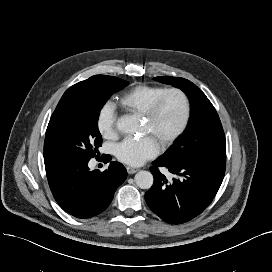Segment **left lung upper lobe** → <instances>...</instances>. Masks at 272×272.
Wrapping results in <instances>:
<instances>
[{
	"label": "left lung upper lobe",
	"mask_w": 272,
	"mask_h": 272,
	"mask_svg": "<svg viewBox=\"0 0 272 272\" xmlns=\"http://www.w3.org/2000/svg\"><path fill=\"white\" fill-rule=\"evenodd\" d=\"M154 79L180 88L188 95L191 104V116L184 133L160 158L173 161L226 157L224 131L205 94L184 78L160 76Z\"/></svg>",
	"instance_id": "1"
}]
</instances>
